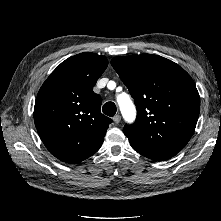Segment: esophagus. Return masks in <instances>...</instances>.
<instances>
[{
    "label": "esophagus",
    "instance_id": "esophagus-1",
    "mask_svg": "<svg viewBox=\"0 0 221 221\" xmlns=\"http://www.w3.org/2000/svg\"><path fill=\"white\" fill-rule=\"evenodd\" d=\"M113 121H114V123L118 124L121 121V116L119 114L115 115L113 117Z\"/></svg>",
    "mask_w": 221,
    "mask_h": 221
}]
</instances>
